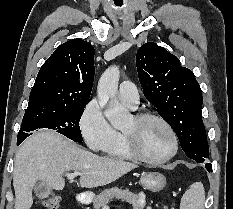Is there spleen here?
Listing matches in <instances>:
<instances>
[{
  "label": "spleen",
  "mask_w": 233,
  "mask_h": 209,
  "mask_svg": "<svg viewBox=\"0 0 233 209\" xmlns=\"http://www.w3.org/2000/svg\"><path fill=\"white\" fill-rule=\"evenodd\" d=\"M205 190L201 182L193 183L181 199V209H204Z\"/></svg>",
  "instance_id": "1"
}]
</instances>
